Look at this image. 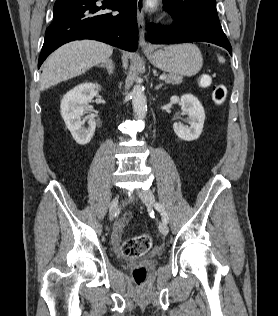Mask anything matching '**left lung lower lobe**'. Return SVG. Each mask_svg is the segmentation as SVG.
<instances>
[{
	"mask_svg": "<svg viewBox=\"0 0 278 316\" xmlns=\"http://www.w3.org/2000/svg\"><path fill=\"white\" fill-rule=\"evenodd\" d=\"M164 9L173 16L178 24L172 27L149 24L146 32L147 41L153 44L208 42L227 49L232 55V47L224 33L204 25L192 24L177 19L166 4H164Z\"/></svg>",
	"mask_w": 278,
	"mask_h": 316,
	"instance_id": "obj_1",
	"label": "left lung lower lobe"
}]
</instances>
